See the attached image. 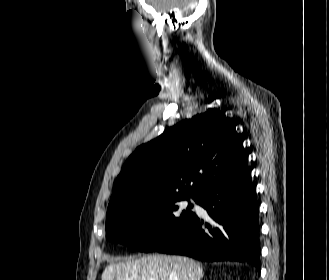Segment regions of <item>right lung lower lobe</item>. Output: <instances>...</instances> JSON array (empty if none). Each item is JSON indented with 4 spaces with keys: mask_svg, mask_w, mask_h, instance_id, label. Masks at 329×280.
Returning a JSON list of instances; mask_svg holds the SVG:
<instances>
[{
    "mask_svg": "<svg viewBox=\"0 0 329 280\" xmlns=\"http://www.w3.org/2000/svg\"><path fill=\"white\" fill-rule=\"evenodd\" d=\"M197 204L211 221L196 214L171 241L155 251L201 261H240L260 271L258 204L247 162L208 186Z\"/></svg>",
    "mask_w": 329,
    "mask_h": 280,
    "instance_id": "98d812e1",
    "label": "right lung lower lobe"
}]
</instances>
